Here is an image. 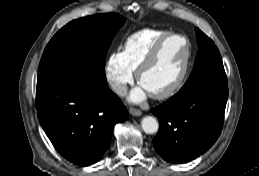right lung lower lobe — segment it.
I'll list each match as a JSON object with an SVG mask.
<instances>
[{
	"mask_svg": "<svg viewBox=\"0 0 259 176\" xmlns=\"http://www.w3.org/2000/svg\"><path fill=\"white\" fill-rule=\"evenodd\" d=\"M36 108L55 149L79 166L97 162L110 144L114 125L128 118L107 85L104 68L80 62L38 71Z\"/></svg>",
	"mask_w": 259,
	"mask_h": 176,
	"instance_id": "1",
	"label": "right lung lower lobe"
}]
</instances>
